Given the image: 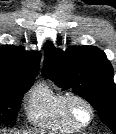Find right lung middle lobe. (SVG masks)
<instances>
[{
	"mask_svg": "<svg viewBox=\"0 0 116 134\" xmlns=\"http://www.w3.org/2000/svg\"><path fill=\"white\" fill-rule=\"evenodd\" d=\"M34 77L16 89H0V125H14L20 109L23 94L33 83Z\"/></svg>",
	"mask_w": 116,
	"mask_h": 134,
	"instance_id": "right-lung-middle-lobe-1",
	"label": "right lung middle lobe"
}]
</instances>
